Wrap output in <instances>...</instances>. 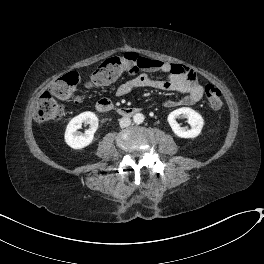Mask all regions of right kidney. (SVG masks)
I'll use <instances>...</instances> for the list:
<instances>
[{"label":"right kidney","mask_w":264,"mask_h":264,"mask_svg":"<svg viewBox=\"0 0 264 264\" xmlns=\"http://www.w3.org/2000/svg\"><path fill=\"white\" fill-rule=\"evenodd\" d=\"M82 123L90 124L89 129L84 134H79L78 129ZM98 118L93 112H83L68 123L65 131V142L73 149H82L92 143L94 133L98 129Z\"/></svg>","instance_id":"ca27d5eb"}]
</instances>
